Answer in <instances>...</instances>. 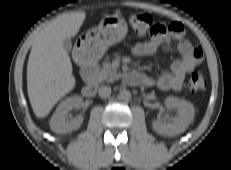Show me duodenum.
<instances>
[{
  "label": "duodenum",
  "instance_id": "410a0bca",
  "mask_svg": "<svg viewBox=\"0 0 231 170\" xmlns=\"http://www.w3.org/2000/svg\"><path fill=\"white\" fill-rule=\"evenodd\" d=\"M77 59L81 63V75L83 80L86 82L83 88V94L91 98L97 92V81L95 78V73L97 69V62L92 61L91 59L83 56H77ZM137 80V76H134Z\"/></svg>",
  "mask_w": 231,
  "mask_h": 170
}]
</instances>
